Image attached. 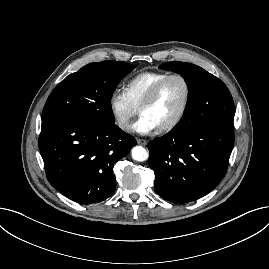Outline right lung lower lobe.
<instances>
[{"mask_svg": "<svg viewBox=\"0 0 269 269\" xmlns=\"http://www.w3.org/2000/svg\"><path fill=\"white\" fill-rule=\"evenodd\" d=\"M136 145L117 125L57 117L42 121L39 148L50 184L79 204L106 200L116 189L114 164Z\"/></svg>", "mask_w": 269, "mask_h": 269, "instance_id": "right-lung-lower-lobe-1", "label": "right lung lower lobe"}]
</instances>
